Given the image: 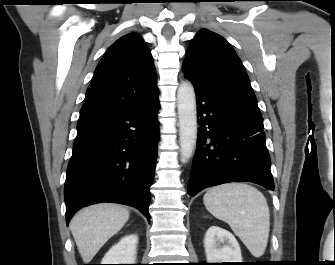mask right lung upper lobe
Returning <instances> with one entry per match:
<instances>
[{"label": "right lung upper lobe", "instance_id": "obj_1", "mask_svg": "<svg viewBox=\"0 0 335 265\" xmlns=\"http://www.w3.org/2000/svg\"><path fill=\"white\" fill-rule=\"evenodd\" d=\"M152 56L135 33L118 39L100 60L87 89L79 121L147 105L158 98Z\"/></svg>", "mask_w": 335, "mask_h": 265}]
</instances>
